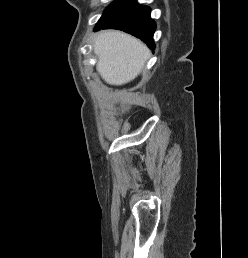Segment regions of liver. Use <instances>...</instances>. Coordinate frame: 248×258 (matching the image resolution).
I'll return each mask as SVG.
<instances>
[{
	"label": "liver",
	"mask_w": 248,
	"mask_h": 258,
	"mask_svg": "<svg viewBox=\"0 0 248 258\" xmlns=\"http://www.w3.org/2000/svg\"><path fill=\"white\" fill-rule=\"evenodd\" d=\"M96 69L105 82L123 85L135 79L150 57L140 40L121 31H103L94 41Z\"/></svg>",
	"instance_id": "1"
}]
</instances>
